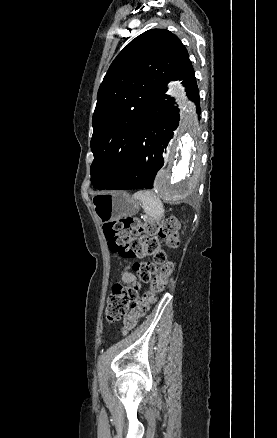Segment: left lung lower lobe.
I'll return each mask as SVG.
<instances>
[{
  "instance_id": "1",
  "label": "left lung lower lobe",
  "mask_w": 277,
  "mask_h": 438,
  "mask_svg": "<svg viewBox=\"0 0 277 438\" xmlns=\"http://www.w3.org/2000/svg\"><path fill=\"white\" fill-rule=\"evenodd\" d=\"M178 122V109L170 101L151 98L141 115L130 160L120 177L106 189L152 188Z\"/></svg>"
}]
</instances>
